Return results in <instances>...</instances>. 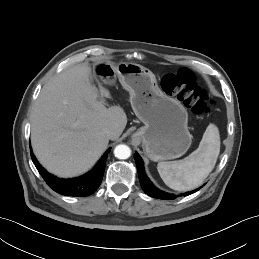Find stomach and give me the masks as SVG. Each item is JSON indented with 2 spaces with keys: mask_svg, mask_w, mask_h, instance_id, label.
Listing matches in <instances>:
<instances>
[{
  "mask_svg": "<svg viewBox=\"0 0 259 259\" xmlns=\"http://www.w3.org/2000/svg\"><path fill=\"white\" fill-rule=\"evenodd\" d=\"M92 75L104 83H114L118 77L130 93V102L136 116L144 123L133 138L142 143L144 153L153 161L179 158L192 142L188 130V114L176 99L163 93L155 75L136 63L114 64L95 62Z\"/></svg>",
  "mask_w": 259,
  "mask_h": 259,
  "instance_id": "1",
  "label": "stomach"
}]
</instances>
